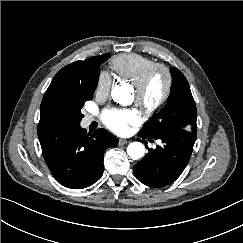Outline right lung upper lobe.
<instances>
[{
  "label": "right lung upper lobe",
  "mask_w": 243,
  "mask_h": 243,
  "mask_svg": "<svg viewBox=\"0 0 243 243\" xmlns=\"http://www.w3.org/2000/svg\"><path fill=\"white\" fill-rule=\"evenodd\" d=\"M102 58L103 55H100L88 58L84 62L76 61L59 70L44 94L38 127L53 125L47 114L52 99L69 90L89 88L98 83L99 61Z\"/></svg>",
  "instance_id": "obj_1"
}]
</instances>
